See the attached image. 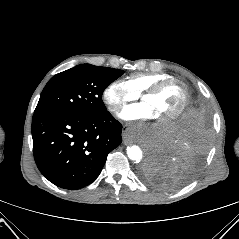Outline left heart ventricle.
Wrapping results in <instances>:
<instances>
[{
  "label": "left heart ventricle",
  "mask_w": 239,
  "mask_h": 239,
  "mask_svg": "<svg viewBox=\"0 0 239 239\" xmlns=\"http://www.w3.org/2000/svg\"><path fill=\"white\" fill-rule=\"evenodd\" d=\"M183 94L177 85H170L155 95L142 99L153 114V118L161 121L176 112L181 106Z\"/></svg>",
  "instance_id": "left-heart-ventricle-1"
}]
</instances>
